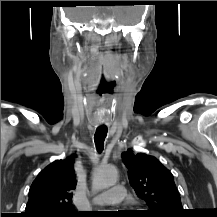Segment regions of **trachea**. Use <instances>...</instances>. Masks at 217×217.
Segmentation results:
<instances>
[{"mask_svg": "<svg viewBox=\"0 0 217 217\" xmlns=\"http://www.w3.org/2000/svg\"><path fill=\"white\" fill-rule=\"evenodd\" d=\"M107 135V127H98L94 135V141L98 152H102L104 147V140Z\"/></svg>", "mask_w": 217, "mask_h": 217, "instance_id": "obj_1", "label": "trachea"}]
</instances>
